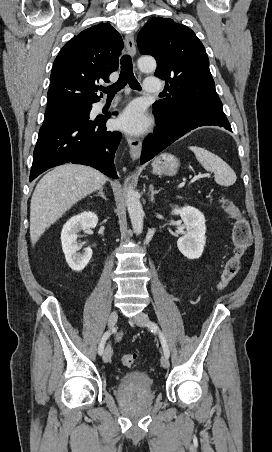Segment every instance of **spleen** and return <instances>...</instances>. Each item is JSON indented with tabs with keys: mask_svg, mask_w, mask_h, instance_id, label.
I'll list each match as a JSON object with an SVG mask.
<instances>
[{
	"mask_svg": "<svg viewBox=\"0 0 272 452\" xmlns=\"http://www.w3.org/2000/svg\"><path fill=\"white\" fill-rule=\"evenodd\" d=\"M199 163L207 170L214 172L215 181L222 186H231L236 182V174L233 169L219 156L198 147L190 146Z\"/></svg>",
	"mask_w": 272,
	"mask_h": 452,
	"instance_id": "obj_1",
	"label": "spleen"
}]
</instances>
